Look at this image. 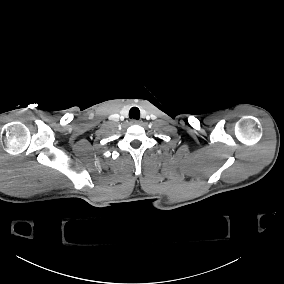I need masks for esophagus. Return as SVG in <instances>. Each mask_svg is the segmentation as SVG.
<instances>
[{
    "mask_svg": "<svg viewBox=\"0 0 284 284\" xmlns=\"http://www.w3.org/2000/svg\"><path fill=\"white\" fill-rule=\"evenodd\" d=\"M131 123H132V124H138L139 122H138V120H136V119H132V120H131Z\"/></svg>",
    "mask_w": 284,
    "mask_h": 284,
    "instance_id": "esophagus-1",
    "label": "esophagus"
}]
</instances>
